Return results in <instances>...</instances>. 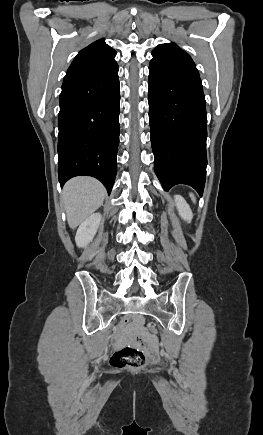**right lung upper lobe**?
Returning a JSON list of instances; mask_svg holds the SVG:
<instances>
[{"instance_id":"1","label":"right lung upper lobe","mask_w":263,"mask_h":435,"mask_svg":"<svg viewBox=\"0 0 263 435\" xmlns=\"http://www.w3.org/2000/svg\"><path fill=\"white\" fill-rule=\"evenodd\" d=\"M116 51L104 42L97 40L81 50L70 65L63 82L92 75L117 64Z\"/></svg>"}]
</instances>
